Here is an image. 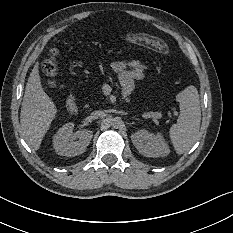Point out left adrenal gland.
Masks as SVG:
<instances>
[{
  "label": "left adrenal gland",
  "mask_w": 233,
  "mask_h": 233,
  "mask_svg": "<svg viewBox=\"0 0 233 233\" xmlns=\"http://www.w3.org/2000/svg\"><path fill=\"white\" fill-rule=\"evenodd\" d=\"M133 119H135V120H139L138 118H135V117H133Z\"/></svg>",
  "instance_id": "left-adrenal-gland-1"
}]
</instances>
